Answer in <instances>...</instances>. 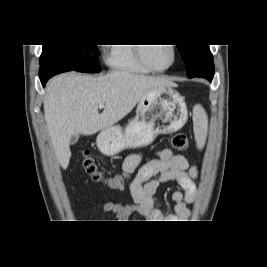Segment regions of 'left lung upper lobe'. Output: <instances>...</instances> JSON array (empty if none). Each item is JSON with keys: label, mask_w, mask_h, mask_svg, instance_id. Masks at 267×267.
Wrapping results in <instances>:
<instances>
[{"label": "left lung upper lobe", "mask_w": 267, "mask_h": 267, "mask_svg": "<svg viewBox=\"0 0 267 267\" xmlns=\"http://www.w3.org/2000/svg\"><path fill=\"white\" fill-rule=\"evenodd\" d=\"M185 65L187 76L193 78L206 68H214L209 45H177Z\"/></svg>", "instance_id": "left-lung-upper-lobe-1"}]
</instances>
